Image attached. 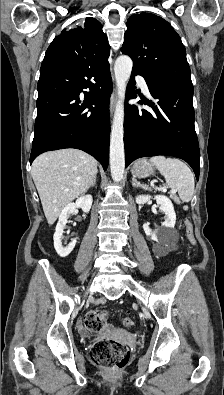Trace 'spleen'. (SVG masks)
Wrapping results in <instances>:
<instances>
[{
  "instance_id": "spleen-1",
  "label": "spleen",
  "mask_w": 224,
  "mask_h": 395,
  "mask_svg": "<svg viewBox=\"0 0 224 395\" xmlns=\"http://www.w3.org/2000/svg\"><path fill=\"white\" fill-rule=\"evenodd\" d=\"M150 162L156 166L164 176L167 185L178 191L183 202H189L194 193V175L191 169L181 160L176 158H166L155 156L150 158Z\"/></svg>"
}]
</instances>
